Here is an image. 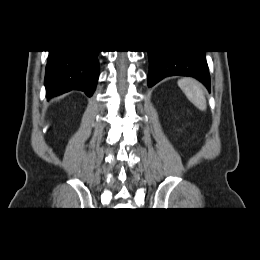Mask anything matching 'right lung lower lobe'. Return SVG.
<instances>
[{"label":"right lung lower lobe","mask_w":260,"mask_h":260,"mask_svg":"<svg viewBox=\"0 0 260 260\" xmlns=\"http://www.w3.org/2000/svg\"><path fill=\"white\" fill-rule=\"evenodd\" d=\"M45 86L48 97L70 90H81L93 95L99 77V51H49Z\"/></svg>","instance_id":"right-lung-lower-lobe-1"}]
</instances>
